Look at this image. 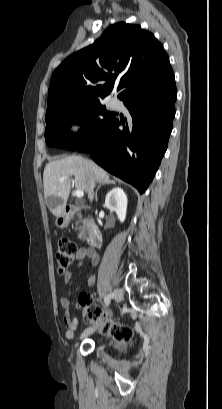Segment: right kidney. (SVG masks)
Instances as JSON below:
<instances>
[{
  "instance_id": "obj_1",
  "label": "right kidney",
  "mask_w": 222,
  "mask_h": 409,
  "mask_svg": "<svg viewBox=\"0 0 222 409\" xmlns=\"http://www.w3.org/2000/svg\"><path fill=\"white\" fill-rule=\"evenodd\" d=\"M105 207L110 211H115L120 222H124L127 211V196L123 189L113 188L105 198Z\"/></svg>"
}]
</instances>
